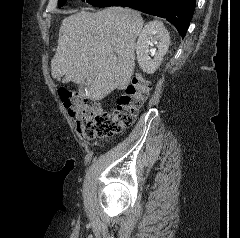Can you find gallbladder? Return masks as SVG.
<instances>
[{
    "label": "gallbladder",
    "mask_w": 240,
    "mask_h": 238,
    "mask_svg": "<svg viewBox=\"0 0 240 238\" xmlns=\"http://www.w3.org/2000/svg\"><path fill=\"white\" fill-rule=\"evenodd\" d=\"M85 87H86L85 83H81V84L79 85V90H80V93H81V94L84 93Z\"/></svg>",
    "instance_id": "obj_1"
}]
</instances>
